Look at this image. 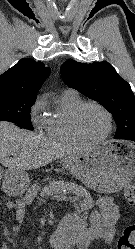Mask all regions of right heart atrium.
<instances>
[{"instance_id":"1","label":"right heart atrium","mask_w":135,"mask_h":249,"mask_svg":"<svg viewBox=\"0 0 135 249\" xmlns=\"http://www.w3.org/2000/svg\"><path fill=\"white\" fill-rule=\"evenodd\" d=\"M44 107V100L43 98H38L36 100V102L33 104L32 108H31V116L32 119L36 122V123H41L44 126V122L45 119L40 118L38 116L39 111Z\"/></svg>"}]
</instances>
